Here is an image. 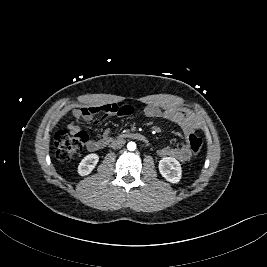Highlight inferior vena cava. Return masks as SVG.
Here are the masks:
<instances>
[{
    "instance_id": "obj_1",
    "label": "inferior vena cava",
    "mask_w": 267,
    "mask_h": 267,
    "mask_svg": "<svg viewBox=\"0 0 267 267\" xmlns=\"http://www.w3.org/2000/svg\"><path fill=\"white\" fill-rule=\"evenodd\" d=\"M124 144H125V140H123V139H117V140H115V141L112 142L111 147L113 149H117V148L122 147Z\"/></svg>"
}]
</instances>
